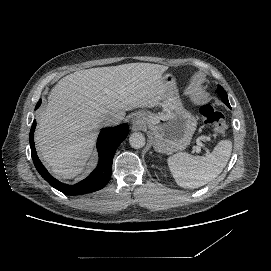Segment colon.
<instances>
[{"instance_id": "obj_1", "label": "colon", "mask_w": 271, "mask_h": 271, "mask_svg": "<svg viewBox=\"0 0 271 271\" xmlns=\"http://www.w3.org/2000/svg\"><path fill=\"white\" fill-rule=\"evenodd\" d=\"M199 113L201 115L202 120L211 125L214 131L223 135L227 130V124L224 118V115L219 112L216 108H214L210 104H203L199 108Z\"/></svg>"}]
</instances>
